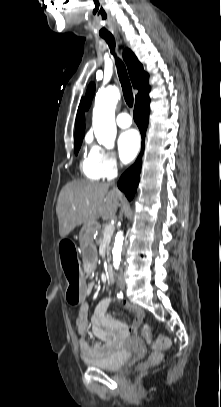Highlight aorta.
I'll list each match as a JSON object with an SVG mask.
<instances>
[{
  "instance_id": "762f6f07",
  "label": "aorta",
  "mask_w": 221,
  "mask_h": 407,
  "mask_svg": "<svg viewBox=\"0 0 221 407\" xmlns=\"http://www.w3.org/2000/svg\"><path fill=\"white\" fill-rule=\"evenodd\" d=\"M120 99L119 89L115 86L100 90L95 98L93 109V130L99 144L112 148L116 137L115 108ZM124 236L118 232L113 248V265L119 268Z\"/></svg>"
}]
</instances>
